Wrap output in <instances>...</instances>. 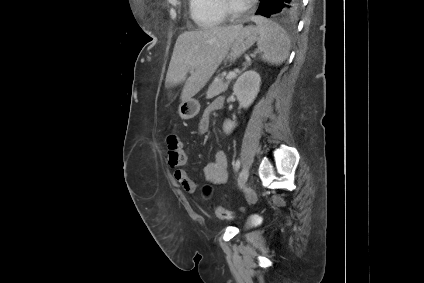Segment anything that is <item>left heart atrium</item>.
<instances>
[{
    "label": "left heart atrium",
    "instance_id": "1",
    "mask_svg": "<svg viewBox=\"0 0 424 283\" xmlns=\"http://www.w3.org/2000/svg\"><path fill=\"white\" fill-rule=\"evenodd\" d=\"M240 2H242L243 4H247V3H250V1H252V0H239Z\"/></svg>",
    "mask_w": 424,
    "mask_h": 283
}]
</instances>
